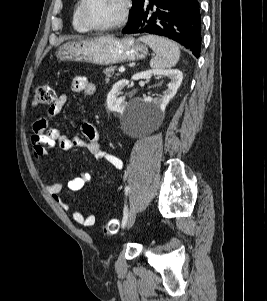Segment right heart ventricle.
<instances>
[{
  "label": "right heart ventricle",
  "instance_id": "1",
  "mask_svg": "<svg viewBox=\"0 0 267 301\" xmlns=\"http://www.w3.org/2000/svg\"><path fill=\"white\" fill-rule=\"evenodd\" d=\"M82 0H77L74 12H73V19H72V25L73 28L80 32V33H85L88 32L89 29L84 25L82 19H81V12H80V7H81Z\"/></svg>",
  "mask_w": 267,
  "mask_h": 301
}]
</instances>
